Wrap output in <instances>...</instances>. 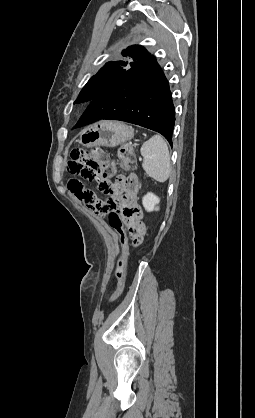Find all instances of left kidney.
Segmentation results:
<instances>
[{
  "mask_svg": "<svg viewBox=\"0 0 255 418\" xmlns=\"http://www.w3.org/2000/svg\"><path fill=\"white\" fill-rule=\"evenodd\" d=\"M159 202H160V199L151 192L147 193L142 199L143 206L145 210L148 212H151L154 210L158 211L159 207L157 205L159 204Z\"/></svg>",
  "mask_w": 255,
  "mask_h": 418,
  "instance_id": "5707ae66",
  "label": "left kidney"
}]
</instances>
